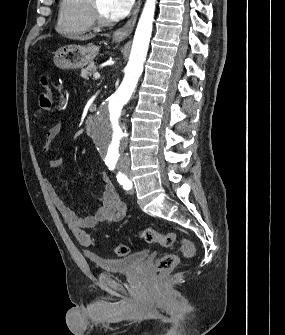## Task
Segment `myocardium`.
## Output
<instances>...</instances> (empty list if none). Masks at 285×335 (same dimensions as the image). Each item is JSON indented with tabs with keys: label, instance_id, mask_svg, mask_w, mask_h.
<instances>
[{
	"label": "myocardium",
	"instance_id": "obj_1",
	"mask_svg": "<svg viewBox=\"0 0 285 335\" xmlns=\"http://www.w3.org/2000/svg\"><path fill=\"white\" fill-rule=\"evenodd\" d=\"M92 19L93 26L98 29L108 28L112 25V21L103 14L100 1H92Z\"/></svg>",
	"mask_w": 285,
	"mask_h": 335
}]
</instances>
